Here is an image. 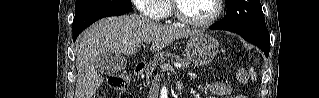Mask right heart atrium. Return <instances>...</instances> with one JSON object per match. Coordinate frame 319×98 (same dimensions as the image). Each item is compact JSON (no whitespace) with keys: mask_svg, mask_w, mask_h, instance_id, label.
Here are the masks:
<instances>
[{"mask_svg":"<svg viewBox=\"0 0 319 98\" xmlns=\"http://www.w3.org/2000/svg\"><path fill=\"white\" fill-rule=\"evenodd\" d=\"M134 3L138 10L148 18L158 20L166 15L160 0H135Z\"/></svg>","mask_w":319,"mask_h":98,"instance_id":"d8ad5b80","label":"right heart atrium"}]
</instances>
